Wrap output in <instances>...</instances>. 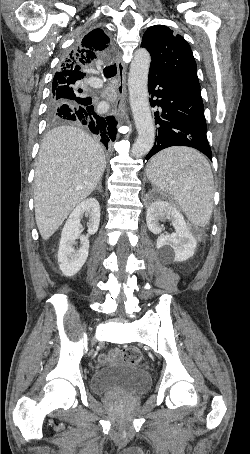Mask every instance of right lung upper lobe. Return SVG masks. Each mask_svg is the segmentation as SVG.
Wrapping results in <instances>:
<instances>
[{"instance_id":"1","label":"right lung upper lobe","mask_w":250,"mask_h":454,"mask_svg":"<svg viewBox=\"0 0 250 454\" xmlns=\"http://www.w3.org/2000/svg\"><path fill=\"white\" fill-rule=\"evenodd\" d=\"M109 37L102 29L88 33L62 60L55 73L53 85L78 83L86 75L83 68L89 65L100 51L108 47Z\"/></svg>"}]
</instances>
